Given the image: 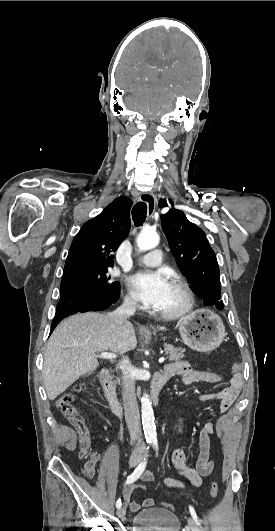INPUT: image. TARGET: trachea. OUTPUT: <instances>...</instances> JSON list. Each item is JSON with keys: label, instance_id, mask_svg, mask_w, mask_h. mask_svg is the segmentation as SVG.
Here are the masks:
<instances>
[{"label": "trachea", "instance_id": "1", "mask_svg": "<svg viewBox=\"0 0 275 531\" xmlns=\"http://www.w3.org/2000/svg\"><path fill=\"white\" fill-rule=\"evenodd\" d=\"M147 216V206L145 202H138L132 209V219L135 226H142Z\"/></svg>", "mask_w": 275, "mask_h": 531}]
</instances>
